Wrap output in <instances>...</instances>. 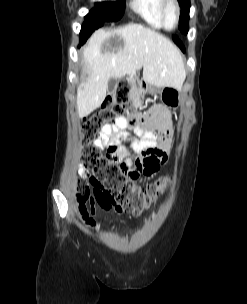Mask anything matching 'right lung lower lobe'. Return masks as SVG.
<instances>
[{
  "instance_id": "obj_1",
  "label": "right lung lower lobe",
  "mask_w": 247,
  "mask_h": 304,
  "mask_svg": "<svg viewBox=\"0 0 247 304\" xmlns=\"http://www.w3.org/2000/svg\"><path fill=\"white\" fill-rule=\"evenodd\" d=\"M104 22H100V24L103 25ZM84 26V24L82 25V27ZM87 39H84L80 36V44H83Z\"/></svg>"
}]
</instances>
